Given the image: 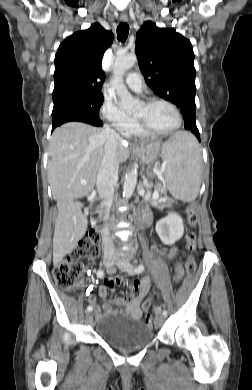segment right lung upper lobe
Here are the masks:
<instances>
[{
    "instance_id": "1",
    "label": "right lung upper lobe",
    "mask_w": 252,
    "mask_h": 390,
    "mask_svg": "<svg viewBox=\"0 0 252 390\" xmlns=\"http://www.w3.org/2000/svg\"><path fill=\"white\" fill-rule=\"evenodd\" d=\"M113 34L99 23L67 37L55 56L53 101L72 96H103L105 74L101 67Z\"/></svg>"
}]
</instances>
